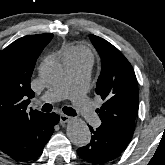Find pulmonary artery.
Here are the masks:
<instances>
[{"label":"pulmonary artery","mask_w":165,"mask_h":165,"mask_svg":"<svg viewBox=\"0 0 165 165\" xmlns=\"http://www.w3.org/2000/svg\"><path fill=\"white\" fill-rule=\"evenodd\" d=\"M67 68L66 78L58 85L47 90L41 100L47 103L71 98L84 120L96 127L100 119L86 97V90L91 70V60L68 59L64 60Z\"/></svg>","instance_id":"1"}]
</instances>
